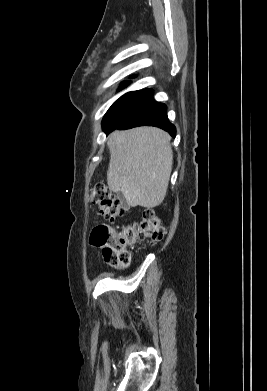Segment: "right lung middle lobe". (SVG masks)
I'll return each mask as SVG.
<instances>
[{
    "label": "right lung middle lobe",
    "instance_id": "dd1d6c3e",
    "mask_svg": "<svg viewBox=\"0 0 267 391\" xmlns=\"http://www.w3.org/2000/svg\"><path fill=\"white\" fill-rule=\"evenodd\" d=\"M127 83H124L123 86H126ZM139 91H133L126 93L122 97H120L107 111L103 118V122H107L123 105H125L134 95H136Z\"/></svg>",
    "mask_w": 267,
    "mask_h": 391
}]
</instances>
